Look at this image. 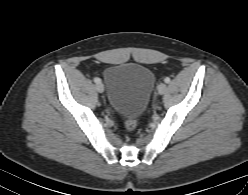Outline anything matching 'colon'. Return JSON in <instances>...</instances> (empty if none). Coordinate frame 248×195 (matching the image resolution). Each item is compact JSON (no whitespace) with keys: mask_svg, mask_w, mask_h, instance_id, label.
<instances>
[{"mask_svg":"<svg viewBox=\"0 0 248 195\" xmlns=\"http://www.w3.org/2000/svg\"><path fill=\"white\" fill-rule=\"evenodd\" d=\"M137 128V119L135 116H127L125 119V129L128 133H132Z\"/></svg>","mask_w":248,"mask_h":195,"instance_id":"colon-1","label":"colon"}]
</instances>
